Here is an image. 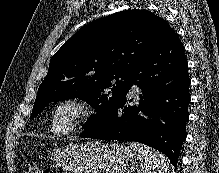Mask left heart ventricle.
<instances>
[{
	"label": "left heart ventricle",
	"mask_w": 219,
	"mask_h": 173,
	"mask_svg": "<svg viewBox=\"0 0 219 173\" xmlns=\"http://www.w3.org/2000/svg\"><path fill=\"white\" fill-rule=\"evenodd\" d=\"M72 116H73L72 109H70V108L61 109L58 112L57 117H56V120H57L59 127L61 129L65 128L69 124V122L71 121Z\"/></svg>",
	"instance_id": "1"
}]
</instances>
